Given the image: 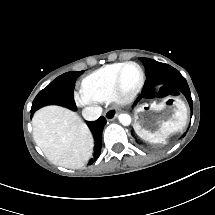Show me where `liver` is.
I'll return each mask as SVG.
<instances>
[{
	"label": "liver",
	"instance_id": "6515ba94",
	"mask_svg": "<svg viewBox=\"0 0 215 215\" xmlns=\"http://www.w3.org/2000/svg\"><path fill=\"white\" fill-rule=\"evenodd\" d=\"M33 138L52 163L70 169L83 167L92 156L93 137L77 113L57 105L34 114Z\"/></svg>",
	"mask_w": 215,
	"mask_h": 215
}]
</instances>
